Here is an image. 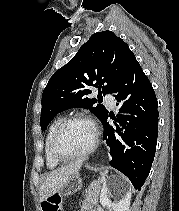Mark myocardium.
Returning a JSON list of instances; mask_svg holds the SVG:
<instances>
[{
	"label": "myocardium",
	"mask_w": 179,
	"mask_h": 211,
	"mask_svg": "<svg viewBox=\"0 0 179 211\" xmlns=\"http://www.w3.org/2000/svg\"><path fill=\"white\" fill-rule=\"evenodd\" d=\"M77 121L88 122L93 126L94 133H95L93 143L87 150H85L84 152H82L80 154H77L74 156H64L63 154L60 153V151L58 149V143H59L60 137H61L63 131L65 130V128L69 124H71L73 122H77ZM99 140H100L99 129L96 126V124L89 117H87L85 115H73V116L63 119L60 122V124L58 125V127L56 128V130L53 134V137H52V141H51V154L54 157V159L60 163H68V162L76 161L79 159H83V158L91 155L97 149V147L99 145Z\"/></svg>",
	"instance_id": "1"
}]
</instances>
